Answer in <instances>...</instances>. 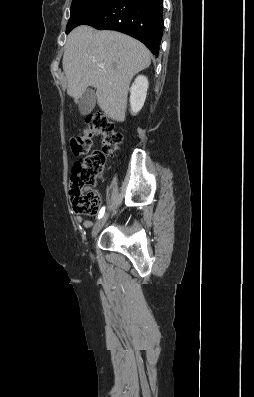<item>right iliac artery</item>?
I'll list each match as a JSON object with an SVG mask.
<instances>
[{
    "instance_id": "obj_1",
    "label": "right iliac artery",
    "mask_w": 254,
    "mask_h": 397,
    "mask_svg": "<svg viewBox=\"0 0 254 397\" xmlns=\"http://www.w3.org/2000/svg\"><path fill=\"white\" fill-rule=\"evenodd\" d=\"M104 212H105V206L101 208L98 218H101L104 215Z\"/></svg>"
}]
</instances>
